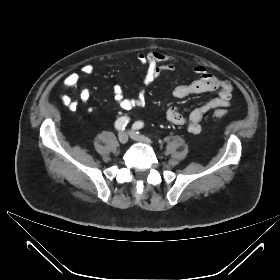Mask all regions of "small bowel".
Here are the masks:
<instances>
[{
  "label": "small bowel",
  "mask_w": 280,
  "mask_h": 280,
  "mask_svg": "<svg viewBox=\"0 0 280 280\" xmlns=\"http://www.w3.org/2000/svg\"><path fill=\"white\" fill-rule=\"evenodd\" d=\"M139 62L145 66L144 86L153 83L163 72L174 71L176 69V60L170 55L150 51L138 54ZM194 72L198 78L189 84H179L173 89V95L177 98H184L189 95L202 94L207 92H217V97L205 102L199 107L193 109L188 117H185L176 107L167 109L165 115L168 121L173 124L186 125L192 134H199L202 130L201 122L206 113L213 110H222L230 106L232 97V84L228 80L221 79L207 71L203 65L194 67ZM94 72V66L86 63L81 67V73L84 76H90ZM80 75L77 72L70 73L65 81L69 87H77ZM80 101L84 104L90 99L88 88H81L79 91ZM114 98L117 105L122 110H130L134 107L141 106L145 102V88L142 87L137 96L125 97L119 86L114 88ZM79 101L68 100L67 107L72 111L79 108Z\"/></svg>",
  "instance_id": "obj_1"
}]
</instances>
